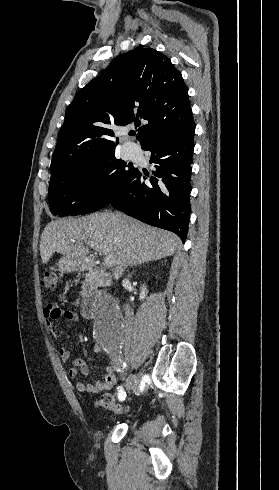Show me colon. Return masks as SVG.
I'll list each match as a JSON object with an SVG mask.
<instances>
[{
	"label": "colon",
	"instance_id": "obj_1",
	"mask_svg": "<svg viewBox=\"0 0 279 490\" xmlns=\"http://www.w3.org/2000/svg\"><path fill=\"white\" fill-rule=\"evenodd\" d=\"M42 286L45 289L49 290H56L58 288V276L55 272L53 271H47L45 272L43 278H42ZM94 407L96 408H105L108 409L114 413H122L123 409L120 404H117L115 402V399L113 396L105 392L99 397H97L93 401Z\"/></svg>",
	"mask_w": 279,
	"mask_h": 490
}]
</instances>
